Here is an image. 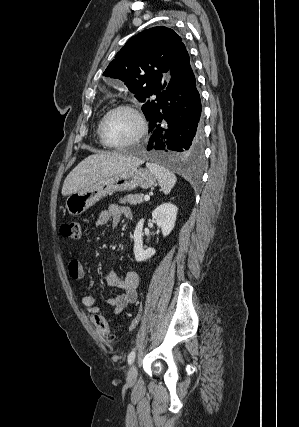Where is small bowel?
<instances>
[{
  "instance_id": "c3829d8e",
  "label": "small bowel",
  "mask_w": 299,
  "mask_h": 427,
  "mask_svg": "<svg viewBox=\"0 0 299 427\" xmlns=\"http://www.w3.org/2000/svg\"><path fill=\"white\" fill-rule=\"evenodd\" d=\"M122 217L131 219L132 212L126 206L117 204L110 205L106 210L101 211L95 221L96 226H103L108 222L117 225ZM69 276L76 281H80L85 276V267L80 260H72L68 265ZM108 285L121 290L120 293L109 297L103 301V304L111 306L113 311L109 314L112 317L118 316L129 304L137 299L138 287L140 284V275L137 271H129L125 277H120L116 273H109L106 277ZM84 309L91 314L107 316L108 314L96 305V299L85 293L82 296Z\"/></svg>"
}]
</instances>
